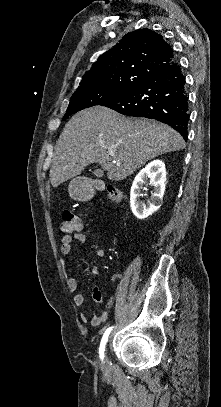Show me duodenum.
<instances>
[{
  "mask_svg": "<svg viewBox=\"0 0 221 407\" xmlns=\"http://www.w3.org/2000/svg\"><path fill=\"white\" fill-rule=\"evenodd\" d=\"M96 188L95 187H89L85 190L86 198L90 199L92 196L95 194Z\"/></svg>",
  "mask_w": 221,
  "mask_h": 407,
  "instance_id": "410a0bca",
  "label": "duodenum"
}]
</instances>
